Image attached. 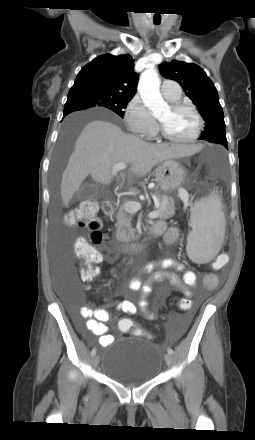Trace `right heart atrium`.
Listing matches in <instances>:
<instances>
[{
  "mask_svg": "<svg viewBox=\"0 0 255 440\" xmlns=\"http://www.w3.org/2000/svg\"><path fill=\"white\" fill-rule=\"evenodd\" d=\"M124 118L133 134L148 137L157 132L155 120L138 96L133 97L128 103Z\"/></svg>",
  "mask_w": 255,
  "mask_h": 440,
  "instance_id": "d8ad5b80",
  "label": "right heart atrium"
}]
</instances>
